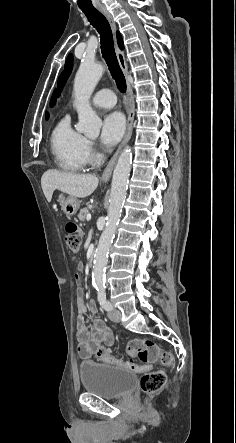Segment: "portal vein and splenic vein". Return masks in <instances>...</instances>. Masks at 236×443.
I'll return each mask as SVG.
<instances>
[{
    "label": "portal vein and splenic vein",
    "instance_id": "portal-vein-and-splenic-vein-1",
    "mask_svg": "<svg viewBox=\"0 0 236 443\" xmlns=\"http://www.w3.org/2000/svg\"><path fill=\"white\" fill-rule=\"evenodd\" d=\"M91 219V214H88L87 215V220H90Z\"/></svg>",
    "mask_w": 236,
    "mask_h": 443
}]
</instances>
